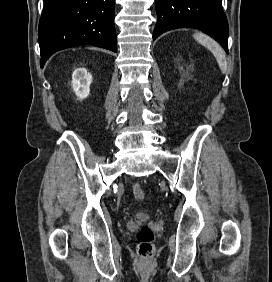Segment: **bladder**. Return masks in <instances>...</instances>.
<instances>
[{
	"label": "bladder",
	"mask_w": 272,
	"mask_h": 282,
	"mask_svg": "<svg viewBox=\"0 0 272 282\" xmlns=\"http://www.w3.org/2000/svg\"><path fill=\"white\" fill-rule=\"evenodd\" d=\"M139 217L143 220H147L150 218V215L148 213H142L139 215Z\"/></svg>",
	"instance_id": "bladder-1"
}]
</instances>
